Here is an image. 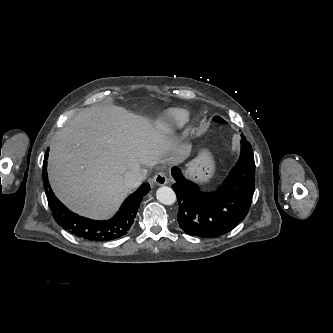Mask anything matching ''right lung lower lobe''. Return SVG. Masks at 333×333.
I'll return each mask as SVG.
<instances>
[{
    "mask_svg": "<svg viewBox=\"0 0 333 333\" xmlns=\"http://www.w3.org/2000/svg\"><path fill=\"white\" fill-rule=\"evenodd\" d=\"M47 159L46 152L43 165L44 187L52 215L60 226L77 237L99 242L115 240L129 232L143 196L150 191L148 183L142 184L131 194L114 217L106 221H95L71 212L57 199L48 182Z\"/></svg>",
    "mask_w": 333,
    "mask_h": 333,
    "instance_id": "98d812e1",
    "label": "right lung lower lobe"
}]
</instances>
